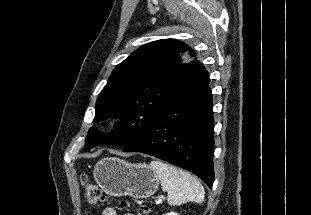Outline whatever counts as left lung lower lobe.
Instances as JSON below:
<instances>
[{
	"instance_id": "obj_1",
	"label": "left lung lower lobe",
	"mask_w": 311,
	"mask_h": 215,
	"mask_svg": "<svg viewBox=\"0 0 311 215\" xmlns=\"http://www.w3.org/2000/svg\"><path fill=\"white\" fill-rule=\"evenodd\" d=\"M209 74L199 64L191 80L122 150L141 152L184 168L210 188L214 182V118Z\"/></svg>"
}]
</instances>
